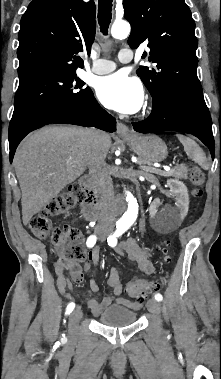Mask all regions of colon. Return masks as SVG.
Wrapping results in <instances>:
<instances>
[{"mask_svg":"<svg viewBox=\"0 0 221 379\" xmlns=\"http://www.w3.org/2000/svg\"><path fill=\"white\" fill-rule=\"evenodd\" d=\"M187 177L192 184V194L194 197H201V186L204 183V174L196 166H189ZM85 199V191L80 185H72L70 188L57 198L46 204L29 222V228L34 236L42 239L49 238L60 248L62 268L68 266L70 262L82 261L87 253L83 247V238L80 231L74 227H57L52 224L51 218L68 214L79 203ZM167 241L162 247L161 252L165 255ZM167 259V257H164ZM157 288V284L144 279H135L128 285V293L136 301H142L146 295Z\"/></svg>","mask_w":221,"mask_h":379,"instance_id":"colon-1","label":"colon"}]
</instances>
